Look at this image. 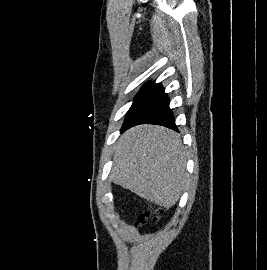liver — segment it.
<instances>
[{
	"mask_svg": "<svg viewBox=\"0 0 267 270\" xmlns=\"http://www.w3.org/2000/svg\"><path fill=\"white\" fill-rule=\"evenodd\" d=\"M110 177L147 201L172 207L188 178L180 136L162 126L131 128L117 142Z\"/></svg>",
	"mask_w": 267,
	"mask_h": 270,
	"instance_id": "6515ba94",
	"label": "liver"
}]
</instances>
